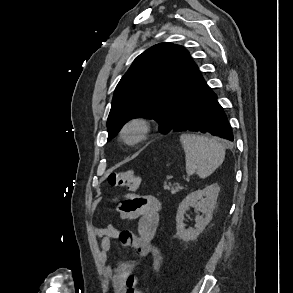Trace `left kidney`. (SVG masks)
Segmentation results:
<instances>
[{
  "label": "left kidney",
  "instance_id": "1",
  "mask_svg": "<svg viewBox=\"0 0 293 293\" xmlns=\"http://www.w3.org/2000/svg\"><path fill=\"white\" fill-rule=\"evenodd\" d=\"M220 187L218 184H212L202 190H197L188 194L178 206L176 214L177 236L185 242L195 240L205 229L212 219ZM190 207L195 208L197 212L203 215H197L195 218V228H185L184 215Z\"/></svg>",
  "mask_w": 293,
  "mask_h": 293
}]
</instances>
